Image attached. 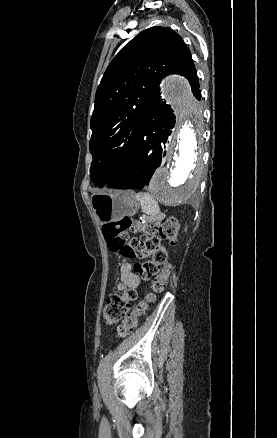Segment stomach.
Instances as JSON below:
<instances>
[{
    "instance_id": "0dacf381",
    "label": "stomach",
    "mask_w": 277,
    "mask_h": 438,
    "mask_svg": "<svg viewBox=\"0 0 277 438\" xmlns=\"http://www.w3.org/2000/svg\"><path fill=\"white\" fill-rule=\"evenodd\" d=\"M92 208L101 224L117 222L132 216L139 208V202L130 191L110 190L91 197Z\"/></svg>"
}]
</instances>
